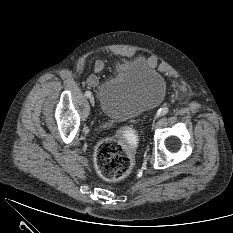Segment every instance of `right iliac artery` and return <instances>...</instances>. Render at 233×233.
Here are the masks:
<instances>
[{
  "label": "right iliac artery",
  "instance_id": "right-iliac-artery-1",
  "mask_svg": "<svg viewBox=\"0 0 233 233\" xmlns=\"http://www.w3.org/2000/svg\"><path fill=\"white\" fill-rule=\"evenodd\" d=\"M85 96H86V97H90V96H91V92H90V91H86V92H85Z\"/></svg>",
  "mask_w": 233,
  "mask_h": 233
}]
</instances>
